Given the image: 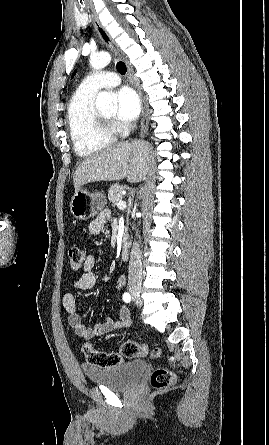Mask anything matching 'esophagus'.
I'll return each instance as SVG.
<instances>
[{
  "instance_id": "34e87169",
  "label": "esophagus",
  "mask_w": 269,
  "mask_h": 445,
  "mask_svg": "<svg viewBox=\"0 0 269 445\" xmlns=\"http://www.w3.org/2000/svg\"><path fill=\"white\" fill-rule=\"evenodd\" d=\"M93 25L104 41V43L111 49V51L118 56L121 60L125 62L126 68H127V74L130 82L132 85L136 88L140 99H141V123H140V135L143 137L147 130H148V124H149V118H148V112H147V105L143 96V93L141 91V88L138 83H136L133 79V70L132 67L127 60L126 56L123 54V52L120 50L119 46L115 43V41L111 38V36L108 34V32L105 30V28L102 26L100 21L97 18H93Z\"/></svg>"
}]
</instances>
